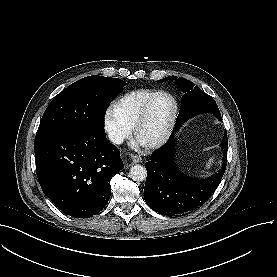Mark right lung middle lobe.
I'll list each match as a JSON object with an SVG mask.
<instances>
[{
    "label": "right lung middle lobe",
    "instance_id": "right-lung-middle-lobe-1",
    "mask_svg": "<svg viewBox=\"0 0 277 277\" xmlns=\"http://www.w3.org/2000/svg\"><path fill=\"white\" fill-rule=\"evenodd\" d=\"M125 85L121 79L98 75L78 80L51 101L36 135L104 129L105 111Z\"/></svg>",
    "mask_w": 277,
    "mask_h": 277
}]
</instances>
